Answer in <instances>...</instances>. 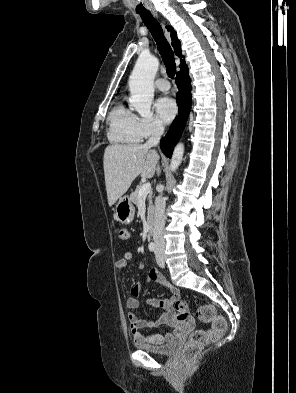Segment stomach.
Segmentation results:
<instances>
[{"mask_svg":"<svg viewBox=\"0 0 296 393\" xmlns=\"http://www.w3.org/2000/svg\"><path fill=\"white\" fill-rule=\"evenodd\" d=\"M117 220L122 224H129L133 221L135 215V207L129 196H123L119 199L115 208Z\"/></svg>","mask_w":296,"mask_h":393,"instance_id":"0dacf381","label":"stomach"}]
</instances>
